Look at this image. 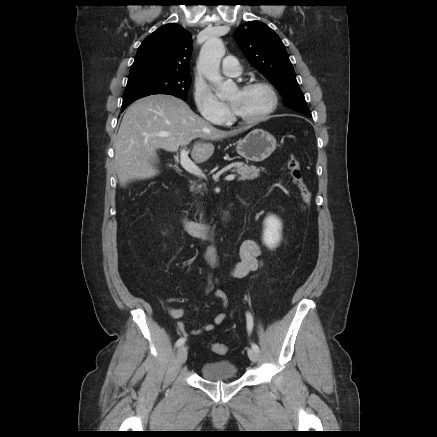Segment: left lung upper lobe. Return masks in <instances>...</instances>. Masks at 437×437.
<instances>
[{"label": "left lung upper lobe", "mask_w": 437, "mask_h": 437, "mask_svg": "<svg viewBox=\"0 0 437 437\" xmlns=\"http://www.w3.org/2000/svg\"><path fill=\"white\" fill-rule=\"evenodd\" d=\"M234 37L248 61L281 93L284 104L312 117L279 36L264 23L251 21L239 26Z\"/></svg>", "instance_id": "obj_1"}]
</instances>
